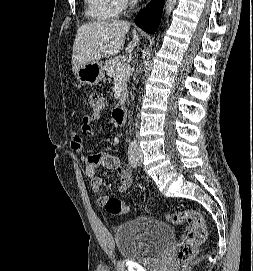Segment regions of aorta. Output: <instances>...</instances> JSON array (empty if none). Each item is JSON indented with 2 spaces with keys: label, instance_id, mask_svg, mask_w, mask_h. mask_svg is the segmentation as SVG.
<instances>
[{
  "label": "aorta",
  "instance_id": "aorta-1",
  "mask_svg": "<svg viewBox=\"0 0 253 271\" xmlns=\"http://www.w3.org/2000/svg\"><path fill=\"white\" fill-rule=\"evenodd\" d=\"M176 3H177V0H166L165 7H164L166 17L170 16L171 12L176 6Z\"/></svg>",
  "mask_w": 253,
  "mask_h": 271
}]
</instances>
